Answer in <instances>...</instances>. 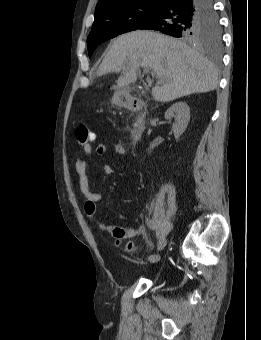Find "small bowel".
Instances as JSON below:
<instances>
[{
	"mask_svg": "<svg viewBox=\"0 0 261 340\" xmlns=\"http://www.w3.org/2000/svg\"><path fill=\"white\" fill-rule=\"evenodd\" d=\"M91 142H88L82 146L86 155H92L94 152L100 156L105 154L108 149V145L106 143H99L94 149ZM112 147L117 155L124 156L126 154V147L122 142H115L112 144ZM87 167V162L83 158H78L74 162L75 172L78 176L79 189L84 197L83 210L86 217L95 222L100 230L111 234L116 239L122 240L144 237L145 229L143 226L125 227L97 221V204L102 199L103 194L101 192H94L91 190L87 174ZM102 171L104 173L105 180L112 177L115 173L114 169L107 163L102 164Z\"/></svg>",
	"mask_w": 261,
	"mask_h": 340,
	"instance_id": "1",
	"label": "small bowel"
}]
</instances>
